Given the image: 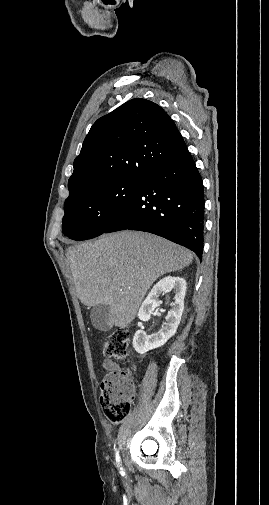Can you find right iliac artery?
I'll return each mask as SVG.
<instances>
[{
	"label": "right iliac artery",
	"instance_id": "right-iliac-artery-1",
	"mask_svg": "<svg viewBox=\"0 0 269 505\" xmlns=\"http://www.w3.org/2000/svg\"><path fill=\"white\" fill-rule=\"evenodd\" d=\"M116 465H117V468L119 469V472L124 475V469H123V466H122V462H121V458H120V455H119V451H116Z\"/></svg>",
	"mask_w": 269,
	"mask_h": 505
}]
</instances>
